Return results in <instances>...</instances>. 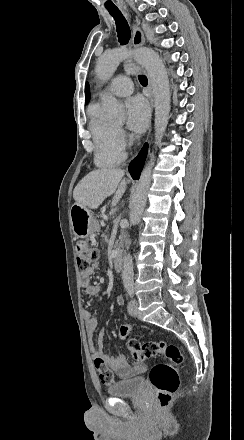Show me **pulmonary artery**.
<instances>
[{"mask_svg": "<svg viewBox=\"0 0 244 440\" xmlns=\"http://www.w3.org/2000/svg\"><path fill=\"white\" fill-rule=\"evenodd\" d=\"M114 83L113 94L117 96H131L134 90L132 75H114L112 78Z\"/></svg>", "mask_w": 244, "mask_h": 440, "instance_id": "pulmonary-artery-1", "label": "pulmonary artery"}]
</instances>
